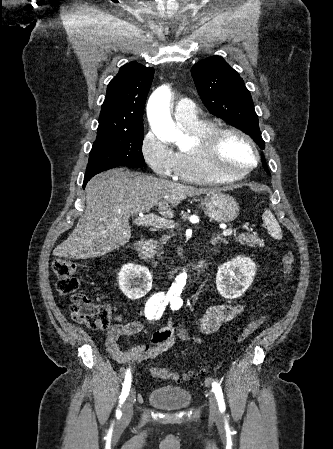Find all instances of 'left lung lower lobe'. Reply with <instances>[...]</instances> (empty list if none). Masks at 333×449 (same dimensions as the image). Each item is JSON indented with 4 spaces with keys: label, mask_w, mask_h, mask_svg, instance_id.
Masks as SVG:
<instances>
[{
    "label": "left lung lower lobe",
    "mask_w": 333,
    "mask_h": 449,
    "mask_svg": "<svg viewBox=\"0 0 333 449\" xmlns=\"http://www.w3.org/2000/svg\"><path fill=\"white\" fill-rule=\"evenodd\" d=\"M262 162H263L264 169L266 170V172H267L268 174H270V173H269V170H268V168H267V164H266V161H265V158H264V157H262Z\"/></svg>",
    "instance_id": "1"
}]
</instances>
